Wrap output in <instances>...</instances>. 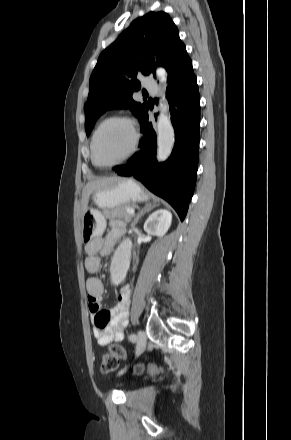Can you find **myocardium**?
<instances>
[{
  "mask_svg": "<svg viewBox=\"0 0 291 440\" xmlns=\"http://www.w3.org/2000/svg\"><path fill=\"white\" fill-rule=\"evenodd\" d=\"M116 121L125 123L128 126L129 130L131 131L132 144H131L130 150L119 161L101 164V163L97 162L96 157H95V144H96L97 135L106 124L111 123V122H116ZM138 144H139V133H138V130L136 128L134 121L131 118H129L128 116H125V115H120V114L109 116L100 122V124L95 129V131L92 135L91 160L95 166L102 167V168H113V167L122 165L125 162H127L135 154L137 147H138Z\"/></svg>",
  "mask_w": 291,
  "mask_h": 440,
  "instance_id": "f54148a6",
  "label": "myocardium"
}]
</instances>
